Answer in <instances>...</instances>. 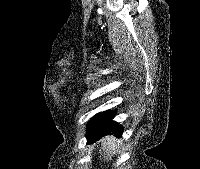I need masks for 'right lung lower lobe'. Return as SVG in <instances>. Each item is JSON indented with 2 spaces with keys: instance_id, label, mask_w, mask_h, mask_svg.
<instances>
[{
  "instance_id": "1",
  "label": "right lung lower lobe",
  "mask_w": 200,
  "mask_h": 169,
  "mask_svg": "<svg viewBox=\"0 0 200 169\" xmlns=\"http://www.w3.org/2000/svg\"><path fill=\"white\" fill-rule=\"evenodd\" d=\"M115 111H107L95 115L87 124L86 137L88 141L94 142L107 134L114 133L120 135L123 132V127L119 123L113 121Z\"/></svg>"
}]
</instances>
